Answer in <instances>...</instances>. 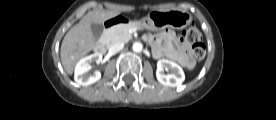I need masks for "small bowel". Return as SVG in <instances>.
Segmentation results:
<instances>
[{
    "label": "small bowel",
    "mask_w": 276,
    "mask_h": 120,
    "mask_svg": "<svg viewBox=\"0 0 276 120\" xmlns=\"http://www.w3.org/2000/svg\"><path fill=\"white\" fill-rule=\"evenodd\" d=\"M145 38L152 47L154 57L177 61L187 69L194 66L188 43L175 32L166 30L158 35L147 34Z\"/></svg>",
    "instance_id": "1"
}]
</instances>
